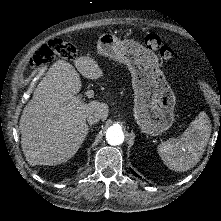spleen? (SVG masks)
I'll return each mask as SVG.
<instances>
[{"label":"spleen","instance_id":"1","mask_svg":"<svg viewBox=\"0 0 221 221\" xmlns=\"http://www.w3.org/2000/svg\"><path fill=\"white\" fill-rule=\"evenodd\" d=\"M211 130L208 114L199 112L181 136L168 139L159 146L164 163L176 172L188 171L196 166L206 150Z\"/></svg>","mask_w":221,"mask_h":221}]
</instances>
